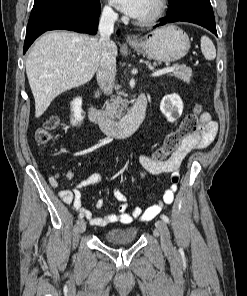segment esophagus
<instances>
[{
    "label": "esophagus",
    "instance_id": "esophagus-1",
    "mask_svg": "<svg viewBox=\"0 0 247 296\" xmlns=\"http://www.w3.org/2000/svg\"><path fill=\"white\" fill-rule=\"evenodd\" d=\"M126 41L128 44H133V43H136L138 39L135 36L127 35Z\"/></svg>",
    "mask_w": 247,
    "mask_h": 296
}]
</instances>
